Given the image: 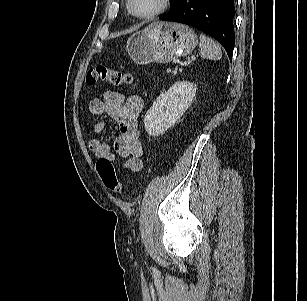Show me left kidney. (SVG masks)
Returning a JSON list of instances; mask_svg holds the SVG:
<instances>
[{
    "label": "left kidney",
    "instance_id": "left-kidney-1",
    "mask_svg": "<svg viewBox=\"0 0 307 301\" xmlns=\"http://www.w3.org/2000/svg\"><path fill=\"white\" fill-rule=\"evenodd\" d=\"M196 90L191 82L177 81L161 93L144 117L147 133L158 136L173 126L191 105Z\"/></svg>",
    "mask_w": 307,
    "mask_h": 301
}]
</instances>
